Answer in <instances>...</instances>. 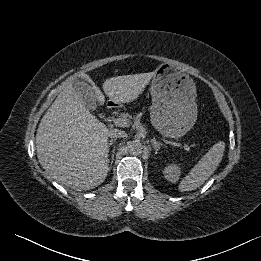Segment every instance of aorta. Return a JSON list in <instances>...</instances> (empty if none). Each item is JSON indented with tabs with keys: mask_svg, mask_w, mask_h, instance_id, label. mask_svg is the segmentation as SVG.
<instances>
[{
	"mask_svg": "<svg viewBox=\"0 0 261 261\" xmlns=\"http://www.w3.org/2000/svg\"><path fill=\"white\" fill-rule=\"evenodd\" d=\"M128 151L133 156L141 155L143 152V145L138 140H133L128 144Z\"/></svg>",
	"mask_w": 261,
	"mask_h": 261,
	"instance_id": "aorta-1",
	"label": "aorta"
}]
</instances>
